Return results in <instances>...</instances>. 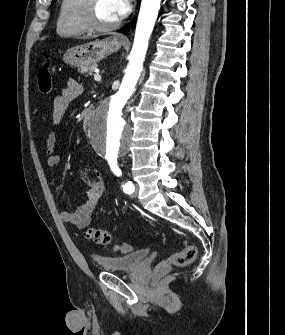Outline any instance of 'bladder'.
I'll return each instance as SVG.
<instances>
[{
	"mask_svg": "<svg viewBox=\"0 0 285 335\" xmlns=\"http://www.w3.org/2000/svg\"><path fill=\"white\" fill-rule=\"evenodd\" d=\"M149 252L146 248L120 255L94 258V265H99L105 272H133L143 265Z\"/></svg>",
	"mask_w": 285,
	"mask_h": 335,
	"instance_id": "1",
	"label": "bladder"
}]
</instances>
